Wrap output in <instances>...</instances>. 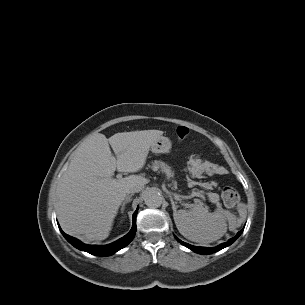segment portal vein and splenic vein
Returning a JSON list of instances; mask_svg holds the SVG:
<instances>
[{
	"mask_svg": "<svg viewBox=\"0 0 305 305\" xmlns=\"http://www.w3.org/2000/svg\"><path fill=\"white\" fill-rule=\"evenodd\" d=\"M116 177H117L118 179H121V178H122V175H121V174H118ZM194 196H201V194L198 193V192H195V193H194Z\"/></svg>",
	"mask_w": 305,
	"mask_h": 305,
	"instance_id": "18ae733b",
	"label": "portal vein and splenic vein"
}]
</instances>
